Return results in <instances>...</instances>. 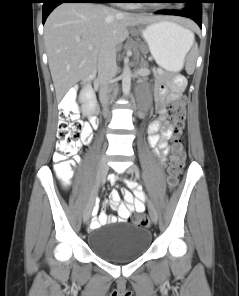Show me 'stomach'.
Masks as SVG:
<instances>
[{"instance_id": "0dacf381", "label": "stomach", "mask_w": 239, "mask_h": 296, "mask_svg": "<svg viewBox=\"0 0 239 296\" xmlns=\"http://www.w3.org/2000/svg\"><path fill=\"white\" fill-rule=\"evenodd\" d=\"M156 63L168 72H179L192 42L189 30L171 21H157L140 28Z\"/></svg>"}]
</instances>
